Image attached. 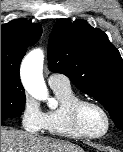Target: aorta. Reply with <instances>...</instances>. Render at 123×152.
<instances>
[{"instance_id":"obj_1","label":"aorta","mask_w":123,"mask_h":152,"mask_svg":"<svg viewBox=\"0 0 123 152\" xmlns=\"http://www.w3.org/2000/svg\"><path fill=\"white\" fill-rule=\"evenodd\" d=\"M44 53L36 48L29 52L23 59L21 74L24 87L33 98L46 101L48 106H52V101L48 96L47 88L43 79Z\"/></svg>"}]
</instances>
